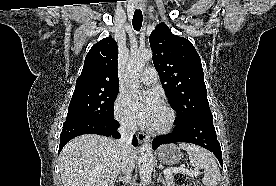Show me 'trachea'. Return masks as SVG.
Here are the masks:
<instances>
[{
    "label": "trachea",
    "instance_id": "3493384b",
    "mask_svg": "<svg viewBox=\"0 0 276 186\" xmlns=\"http://www.w3.org/2000/svg\"><path fill=\"white\" fill-rule=\"evenodd\" d=\"M143 21L142 11L140 9H136L133 15L132 25L135 31H140Z\"/></svg>",
    "mask_w": 276,
    "mask_h": 186
}]
</instances>
